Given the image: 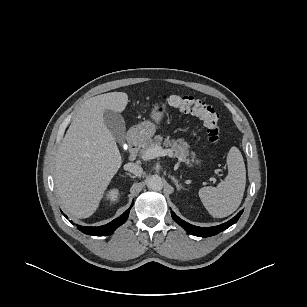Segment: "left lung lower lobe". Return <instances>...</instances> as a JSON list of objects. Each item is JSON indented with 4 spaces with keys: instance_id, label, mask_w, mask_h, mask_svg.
Returning a JSON list of instances; mask_svg holds the SVG:
<instances>
[{
    "instance_id": "left-lung-lower-lobe-1",
    "label": "left lung lower lobe",
    "mask_w": 307,
    "mask_h": 307,
    "mask_svg": "<svg viewBox=\"0 0 307 307\" xmlns=\"http://www.w3.org/2000/svg\"><path fill=\"white\" fill-rule=\"evenodd\" d=\"M242 213H243V210L240 211L234 218H232L228 222L223 223V224L218 225V226H214V227H197V226H193V225L185 222L184 220H181L179 217H177L175 215L174 212H171L172 218L182 228H184L188 233H190L192 235H195V236H199V237H209V236H213V235H216V234L222 232L223 230L227 229L228 227H230L231 225L236 223L238 221V219L240 218Z\"/></svg>"
}]
</instances>
